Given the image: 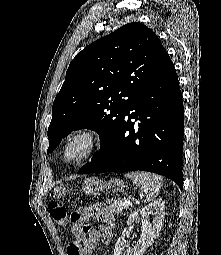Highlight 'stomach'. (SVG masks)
I'll use <instances>...</instances> for the list:
<instances>
[{
	"label": "stomach",
	"instance_id": "stomach-1",
	"mask_svg": "<svg viewBox=\"0 0 221 255\" xmlns=\"http://www.w3.org/2000/svg\"><path fill=\"white\" fill-rule=\"evenodd\" d=\"M124 188V183L118 179L114 178L110 181L106 182L97 177H89L84 180L83 183V191L88 196H98L105 190L107 192L113 191H122ZM66 188L64 186H60L54 189V197L61 198V196L65 195Z\"/></svg>",
	"mask_w": 221,
	"mask_h": 255
}]
</instances>
